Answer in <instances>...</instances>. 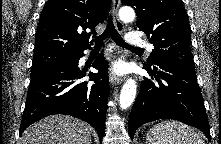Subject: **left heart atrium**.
<instances>
[{"mask_svg":"<svg viewBox=\"0 0 221 144\" xmlns=\"http://www.w3.org/2000/svg\"><path fill=\"white\" fill-rule=\"evenodd\" d=\"M114 71L118 74H121L124 72V66L122 64H116L114 66Z\"/></svg>","mask_w":221,"mask_h":144,"instance_id":"39dd6f15","label":"left heart atrium"}]
</instances>
